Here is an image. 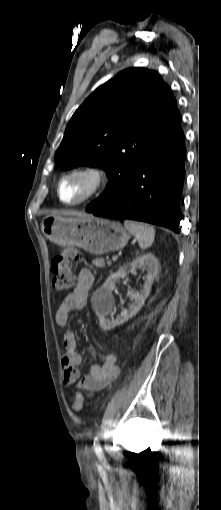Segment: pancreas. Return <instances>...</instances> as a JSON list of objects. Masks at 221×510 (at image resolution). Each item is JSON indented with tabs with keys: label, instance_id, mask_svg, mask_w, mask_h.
<instances>
[{
	"label": "pancreas",
	"instance_id": "1",
	"mask_svg": "<svg viewBox=\"0 0 221 510\" xmlns=\"http://www.w3.org/2000/svg\"><path fill=\"white\" fill-rule=\"evenodd\" d=\"M93 265L99 268L105 267V260L103 258H96L93 260ZM110 264V263H108Z\"/></svg>",
	"mask_w": 221,
	"mask_h": 510
}]
</instances>
